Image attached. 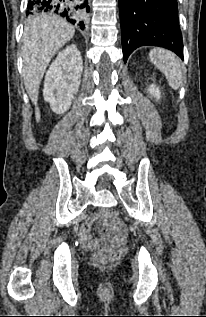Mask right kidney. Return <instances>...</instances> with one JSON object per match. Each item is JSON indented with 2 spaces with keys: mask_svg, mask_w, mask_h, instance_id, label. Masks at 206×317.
<instances>
[{
  "mask_svg": "<svg viewBox=\"0 0 206 317\" xmlns=\"http://www.w3.org/2000/svg\"><path fill=\"white\" fill-rule=\"evenodd\" d=\"M82 72V57L75 44L61 51L50 65L43 95L55 113L62 114L70 107L80 86Z\"/></svg>",
  "mask_w": 206,
  "mask_h": 317,
  "instance_id": "1",
  "label": "right kidney"
}]
</instances>
